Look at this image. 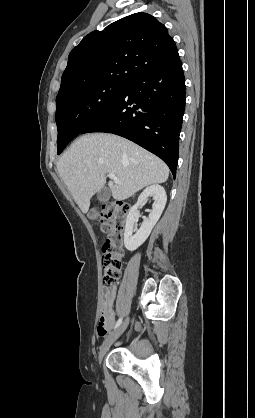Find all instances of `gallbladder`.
Listing matches in <instances>:
<instances>
[{"mask_svg":"<svg viewBox=\"0 0 255 418\" xmlns=\"http://www.w3.org/2000/svg\"><path fill=\"white\" fill-rule=\"evenodd\" d=\"M110 196H111V191H110V189H109V187H103L99 192H98V194H97V198H98V200L100 201V202H106V201H108L109 200V198H110ZM91 215L92 216H95L96 215V211L95 210H92L91 211Z\"/></svg>","mask_w":255,"mask_h":418,"instance_id":"gallbladder-1","label":"gallbladder"}]
</instances>
